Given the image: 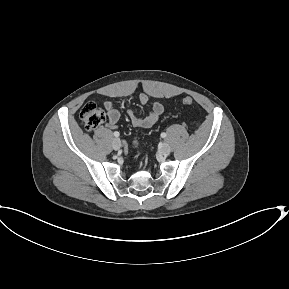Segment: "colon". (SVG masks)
Here are the masks:
<instances>
[{
	"label": "colon",
	"instance_id": "1",
	"mask_svg": "<svg viewBox=\"0 0 289 289\" xmlns=\"http://www.w3.org/2000/svg\"><path fill=\"white\" fill-rule=\"evenodd\" d=\"M183 104L191 105L193 100L186 96L182 100ZM80 120L86 130H94L99 127L105 120L103 110L94 102H87L80 111Z\"/></svg>",
	"mask_w": 289,
	"mask_h": 289
}]
</instances>
